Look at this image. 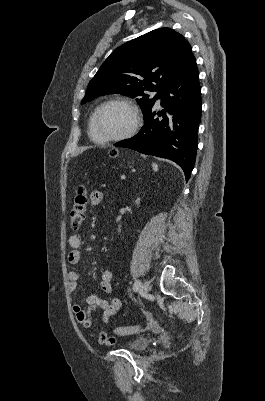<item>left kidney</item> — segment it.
I'll list each match as a JSON object with an SVG mask.
<instances>
[{"mask_svg":"<svg viewBox=\"0 0 265 401\" xmlns=\"http://www.w3.org/2000/svg\"><path fill=\"white\" fill-rule=\"evenodd\" d=\"M140 198H137L136 205H139Z\"/></svg>","mask_w":265,"mask_h":401,"instance_id":"left-kidney-1","label":"left kidney"}]
</instances>
